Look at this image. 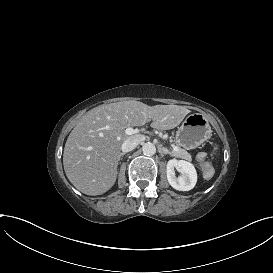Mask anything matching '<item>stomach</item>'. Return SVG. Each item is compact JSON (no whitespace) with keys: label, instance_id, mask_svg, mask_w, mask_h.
Here are the masks:
<instances>
[{"label":"stomach","instance_id":"stomach-1","mask_svg":"<svg viewBox=\"0 0 273 273\" xmlns=\"http://www.w3.org/2000/svg\"><path fill=\"white\" fill-rule=\"evenodd\" d=\"M211 132L204 114H190L176 132V143L187 150L195 149L211 137Z\"/></svg>","mask_w":273,"mask_h":273}]
</instances>
